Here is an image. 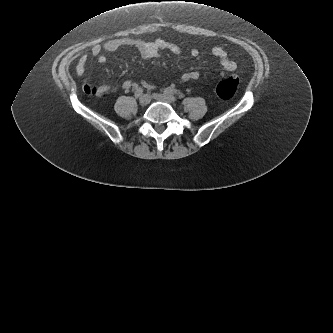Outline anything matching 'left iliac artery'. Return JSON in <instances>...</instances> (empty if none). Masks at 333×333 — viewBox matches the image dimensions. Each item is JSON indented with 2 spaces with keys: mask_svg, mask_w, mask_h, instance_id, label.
I'll return each mask as SVG.
<instances>
[{
  "mask_svg": "<svg viewBox=\"0 0 333 333\" xmlns=\"http://www.w3.org/2000/svg\"><path fill=\"white\" fill-rule=\"evenodd\" d=\"M165 94H177L179 97H183V93L178 91L177 89L167 87L164 89Z\"/></svg>",
  "mask_w": 333,
  "mask_h": 333,
  "instance_id": "left-iliac-artery-1",
  "label": "left iliac artery"
}]
</instances>
